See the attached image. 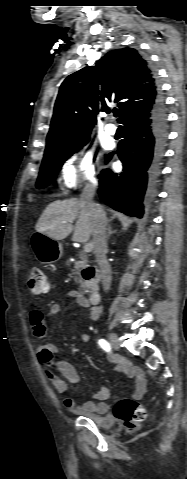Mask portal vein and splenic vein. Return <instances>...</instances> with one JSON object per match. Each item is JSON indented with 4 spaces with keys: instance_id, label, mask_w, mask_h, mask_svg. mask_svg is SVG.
<instances>
[{
    "instance_id": "portal-vein-and-splenic-vein-1",
    "label": "portal vein and splenic vein",
    "mask_w": 187,
    "mask_h": 479,
    "mask_svg": "<svg viewBox=\"0 0 187 479\" xmlns=\"http://www.w3.org/2000/svg\"><path fill=\"white\" fill-rule=\"evenodd\" d=\"M92 248H93L92 244H86V245L84 246V251H85V252H91V251H92Z\"/></svg>"
}]
</instances>
